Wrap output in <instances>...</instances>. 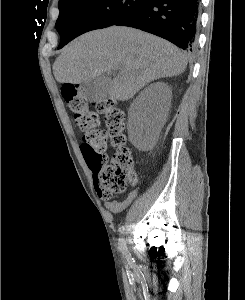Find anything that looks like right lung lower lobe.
I'll return each instance as SVG.
<instances>
[{"mask_svg":"<svg viewBox=\"0 0 245 300\" xmlns=\"http://www.w3.org/2000/svg\"><path fill=\"white\" fill-rule=\"evenodd\" d=\"M199 23V0H149L114 25L160 36L192 52Z\"/></svg>","mask_w":245,"mask_h":300,"instance_id":"right-lung-lower-lobe-1","label":"right lung lower lobe"}]
</instances>
